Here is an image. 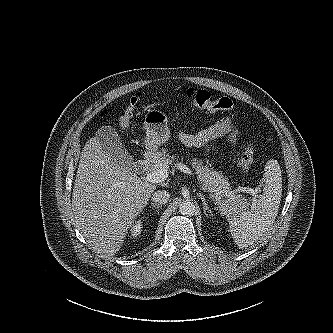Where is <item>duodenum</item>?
Returning <instances> with one entry per match:
<instances>
[{
    "instance_id": "1",
    "label": "duodenum",
    "mask_w": 333,
    "mask_h": 333,
    "mask_svg": "<svg viewBox=\"0 0 333 333\" xmlns=\"http://www.w3.org/2000/svg\"><path fill=\"white\" fill-rule=\"evenodd\" d=\"M152 157L151 153L145 154V156L136 163V170L138 172L146 171L152 163Z\"/></svg>"
}]
</instances>
